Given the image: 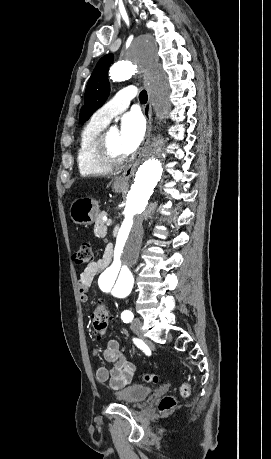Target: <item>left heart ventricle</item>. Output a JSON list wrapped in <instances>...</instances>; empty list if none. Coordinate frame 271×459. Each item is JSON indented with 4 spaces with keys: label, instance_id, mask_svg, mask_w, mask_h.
<instances>
[{
    "label": "left heart ventricle",
    "instance_id": "obj_1",
    "mask_svg": "<svg viewBox=\"0 0 271 459\" xmlns=\"http://www.w3.org/2000/svg\"><path fill=\"white\" fill-rule=\"evenodd\" d=\"M110 146L117 152H126L123 147L121 132L118 128L111 129L108 135Z\"/></svg>",
    "mask_w": 271,
    "mask_h": 459
}]
</instances>
